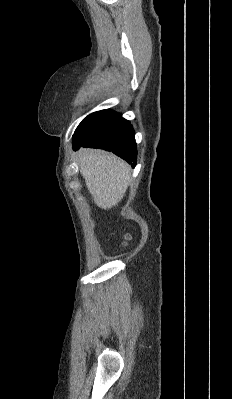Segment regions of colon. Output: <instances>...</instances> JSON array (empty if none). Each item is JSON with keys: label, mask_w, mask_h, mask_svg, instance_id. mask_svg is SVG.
<instances>
[{"label": "colon", "mask_w": 232, "mask_h": 399, "mask_svg": "<svg viewBox=\"0 0 232 399\" xmlns=\"http://www.w3.org/2000/svg\"><path fill=\"white\" fill-rule=\"evenodd\" d=\"M126 244H127V245H130V244H131V235H130V234H127V235H126ZM120 248H121V249H124V248H125V240H124V239H121V240H120Z\"/></svg>", "instance_id": "5ec220e1"}]
</instances>
